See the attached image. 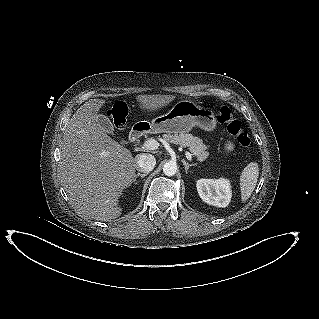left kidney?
Masks as SVG:
<instances>
[{"mask_svg": "<svg viewBox=\"0 0 319 319\" xmlns=\"http://www.w3.org/2000/svg\"><path fill=\"white\" fill-rule=\"evenodd\" d=\"M196 187L200 198L210 205L226 207L230 203L231 189L228 179H200Z\"/></svg>", "mask_w": 319, "mask_h": 319, "instance_id": "1", "label": "left kidney"}]
</instances>
